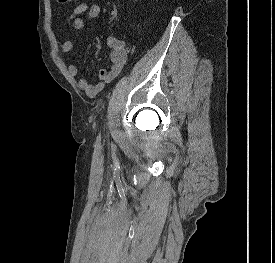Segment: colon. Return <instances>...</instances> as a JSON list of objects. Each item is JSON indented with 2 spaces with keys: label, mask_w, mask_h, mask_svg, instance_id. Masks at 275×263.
I'll list each match as a JSON object with an SVG mask.
<instances>
[{
  "label": "colon",
  "mask_w": 275,
  "mask_h": 263,
  "mask_svg": "<svg viewBox=\"0 0 275 263\" xmlns=\"http://www.w3.org/2000/svg\"><path fill=\"white\" fill-rule=\"evenodd\" d=\"M59 4H66L68 3L70 0H57Z\"/></svg>",
  "instance_id": "5ec220e1"
}]
</instances>
